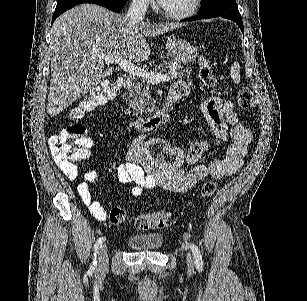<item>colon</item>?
I'll return each instance as SVG.
<instances>
[{"label":"colon","instance_id":"colon-1","mask_svg":"<svg viewBox=\"0 0 307 301\" xmlns=\"http://www.w3.org/2000/svg\"><path fill=\"white\" fill-rule=\"evenodd\" d=\"M199 77L207 87H213L216 84L211 66L204 57L200 59ZM119 90L120 83L118 82L101 83L76 104L70 112V117L82 118L88 111L114 98ZM237 103L242 109H249L255 105L254 95L250 88L241 87L238 90ZM86 137L84 126L71 124L49 138V149L55 159L68 161L74 165L89 157V150L85 144ZM215 192L216 184L212 181L205 182L201 187V194L205 198L213 196ZM109 220L115 225L124 224L129 220V214L123 208L114 207L109 213ZM133 224L138 230L164 228L172 224V215L164 211L139 214L134 218Z\"/></svg>","mask_w":307,"mask_h":301}]
</instances>
